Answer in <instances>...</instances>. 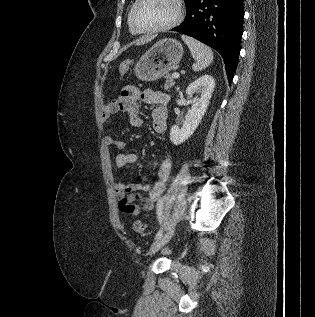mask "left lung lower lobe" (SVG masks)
Wrapping results in <instances>:
<instances>
[{
	"label": "left lung lower lobe",
	"mask_w": 315,
	"mask_h": 317,
	"mask_svg": "<svg viewBox=\"0 0 315 317\" xmlns=\"http://www.w3.org/2000/svg\"><path fill=\"white\" fill-rule=\"evenodd\" d=\"M244 0H193L177 31L205 43L224 60L229 84L237 68L243 33Z\"/></svg>",
	"instance_id": "1"
}]
</instances>
